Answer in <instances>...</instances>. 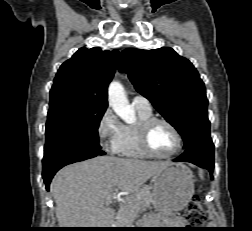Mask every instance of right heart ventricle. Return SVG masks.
<instances>
[{"mask_svg":"<svg viewBox=\"0 0 252 231\" xmlns=\"http://www.w3.org/2000/svg\"><path fill=\"white\" fill-rule=\"evenodd\" d=\"M135 109L139 121L136 124L123 125L117 152L127 157L146 158L149 155L142 150L138 141V124L152 117V110H144L136 107Z\"/></svg>","mask_w":252,"mask_h":231,"instance_id":"right-heart-ventricle-1","label":"right heart ventricle"}]
</instances>
